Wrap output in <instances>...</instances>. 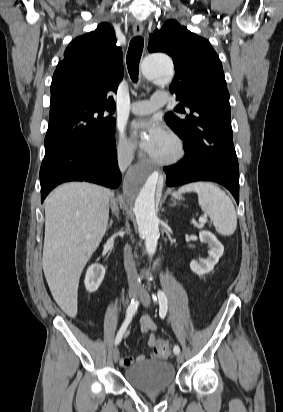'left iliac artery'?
<instances>
[{"label": "left iliac artery", "mask_w": 283, "mask_h": 412, "mask_svg": "<svg viewBox=\"0 0 283 412\" xmlns=\"http://www.w3.org/2000/svg\"><path fill=\"white\" fill-rule=\"evenodd\" d=\"M152 298L154 301L158 300L159 303V315L163 319L166 316L167 310H168V302L166 295L164 294L163 291L158 290L157 295L153 294ZM175 354L180 353V347L178 345H175L173 349Z\"/></svg>", "instance_id": "1"}]
</instances>
